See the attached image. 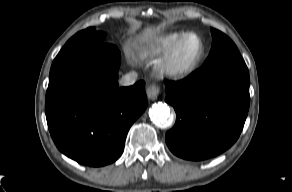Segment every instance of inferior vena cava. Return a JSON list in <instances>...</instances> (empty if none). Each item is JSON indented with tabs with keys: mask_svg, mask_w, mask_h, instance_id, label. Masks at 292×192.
Wrapping results in <instances>:
<instances>
[{
	"mask_svg": "<svg viewBox=\"0 0 292 192\" xmlns=\"http://www.w3.org/2000/svg\"><path fill=\"white\" fill-rule=\"evenodd\" d=\"M138 77L137 72L132 71L127 74H125L119 81L120 85L122 86H130L133 85L136 82V79Z\"/></svg>",
	"mask_w": 292,
	"mask_h": 192,
	"instance_id": "602c4592",
	"label": "inferior vena cava"
}]
</instances>
